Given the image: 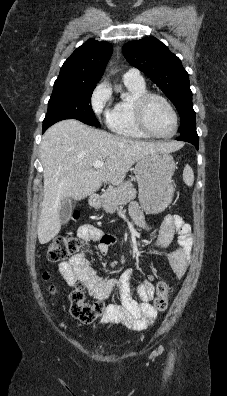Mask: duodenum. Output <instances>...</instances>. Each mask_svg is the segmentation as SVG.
Masks as SVG:
<instances>
[{"mask_svg": "<svg viewBox=\"0 0 227 396\" xmlns=\"http://www.w3.org/2000/svg\"><path fill=\"white\" fill-rule=\"evenodd\" d=\"M90 204L93 206H99L101 204V200L98 194H92L89 198Z\"/></svg>", "mask_w": 227, "mask_h": 396, "instance_id": "duodenum-1", "label": "duodenum"}]
</instances>
